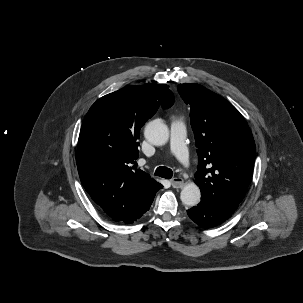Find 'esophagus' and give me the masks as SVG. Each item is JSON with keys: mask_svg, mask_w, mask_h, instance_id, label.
<instances>
[{"mask_svg": "<svg viewBox=\"0 0 303 303\" xmlns=\"http://www.w3.org/2000/svg\"><path fill=\"white\" fill-rule=\"evenodd\" d=\"M171 184L174 188H181L184 185V180L181 177H174Z\"/></svg>", "mask_w": 303, "mask_h": 303, "instance_id": "obj_1", "label": "esophagus"}]
</instances>
